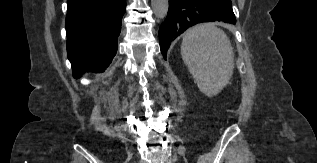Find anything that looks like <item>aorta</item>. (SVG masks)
Here are the masks:
<instances>
[{
	"label": "aorta",
	"instance_id": "762f6f07",
	"mask_svg": "<svg viewBox=\"0 0 317 163\" xmlns=\"http://www.w3.org/2000/svg\"><path fill=\"white\" fill-rule=\"evenodd\" d=\"M151 5L154 15L157 18L163 19L166 17L168 13L169 0H151Z\"/></svg>",
	"mask_w": 317,
	"mask_h": 163
}]
</instances>
